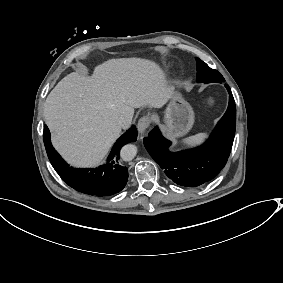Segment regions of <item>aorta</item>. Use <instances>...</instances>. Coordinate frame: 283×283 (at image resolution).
Instances as JSON below:
<instances>
[{"label": "aorta", "mask_w": 283, "mask_h": 283, "mask_svg": "<svg viewBox=\"0 0 283 283\" xmlns=\"http://www.w3.org/2000/svg\"><path fill=\"white\" fill-rule=\"evenodd\" d=\"M137 154V147L133 144H127L121 149V158L124 161H131Z\"/></svg>", "instance_id": "1"}]
</instances>
